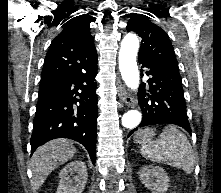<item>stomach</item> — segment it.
Instances as JSON below:
<instances>
[{
    "mask_svg": "<svg viewBox=\"0 0 221 193\" xmlns=\"http://www.w3.org/2000/svg\"><path fill=\"white\" fill-rule=\"evenodd\" d=\"M153 135H154V131L151 130V132H150V134H149V138H151ZM143 136H144L143 131H139V132L137 133V135L135 136V138H136V140H137L138 142H140V140L142 139Z\"/></svg>",
    "mask_w": 221,
    "mask_h": 193,
    "instance_id": "obj_1",
    "label": "stomach"
}]
</instances>
